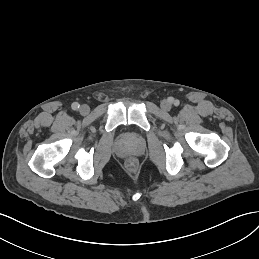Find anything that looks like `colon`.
<instances>
[{
	"label": "colon",
	"instance_id": "colon-1",
	"mask_svg": "<svg viewBox=\"0 0 259 259\" xmlns=\"http://www.w3.org/2000/svg\"><path fill=\"white\" fill-rule=\"evenodd\" d=\"M125 165L129 170H135L138 166V161L137 159L131 157L126 160Z\"/></svg>",
	"mask_w": 259,
	"mask_h": 259
}]
</instances>
